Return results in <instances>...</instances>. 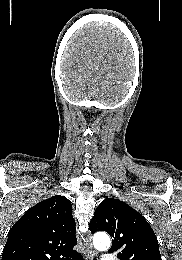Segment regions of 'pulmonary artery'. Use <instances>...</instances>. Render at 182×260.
<instances>
[{"instance_id":"pulmonary-artery-1","label":"pulmonary artery","mask_w":182,"mask_h":260,"mask_svg":"<svg viewBox=\"0 0 182 260\" xmlns=\"http://www.w3.org/2000/svg\"><path fill=\"white\" fill-rule=\"evenodd\" d=\"M102 260H118V258L111 254H105L102 257Z\"/></svg>"}]
</instances>
